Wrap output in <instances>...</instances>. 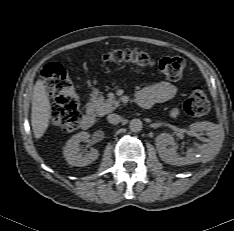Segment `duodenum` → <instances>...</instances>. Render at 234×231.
<instances>
[{
    "instance_id": "duodenum-1",
    "label": "duodenum",
    "mask_w": 234,
    "mask_h": 231,
    "mask_svg": "<svg viewBox=\"0 0 234 231\" xmlns=\"http://www.w3.org/2000/svg\"><path fill=\"white\" fill-rule=\"evenodd\" d=\"M136 100L139 106L143 108H149L150 104L138 99L137 97H136ZM94 123H95V116L93 112L87 111L82 117V121H81L82 127L84 129H90L94 126Z\"/></svg>"
}]
</instances>
